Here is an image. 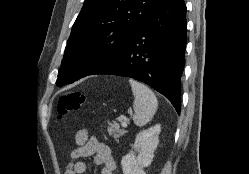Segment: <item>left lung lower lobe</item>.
<instances>
[{
	"label": "left lung lower lobe",
	"instance_id": "0a47b994",
	"mask_svg": "<svg viewBox=\"0 0 249 174\" xmlns=\"http://www.w3.org/2000/svg\"><path fill=\"white\" fill-rule=\"evenodd\" d=\"M186 31L184 0H161L121 55L96 74L144 82L167 97L180 114Z\"/></svg>",
	"mask_w": 249,
	"mask_h": 174
}]
</instances>
